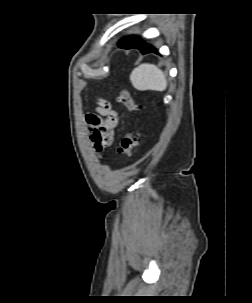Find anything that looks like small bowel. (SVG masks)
I'll return each mask as SVG.
<instances>
[{
  "mask_svg": "<svg viewBox=\"0 0 252 303\" xmlns=\"http://www.w3.org/2000/svg\"><path fill=\"white\" fill-rule=\"evenodd\" d=\"M98 104L99 109L105 112V117L89 114L86 117V123L94 150L100 153L113 142L118 116L107 103L99 101Z\"/></svg>",
  "mask_w": 252,
  "mask_h": 303,
  "instance_id": "obj_1",
  "label": "small bowel"
}]
</instances>
